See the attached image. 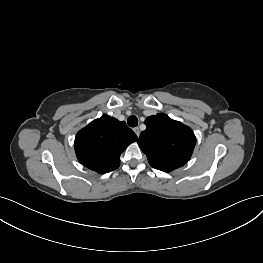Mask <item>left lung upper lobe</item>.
I'll list each match as a JSON object with an SVG mask.
<instances>
[{"mask_svg": "<svg viewBox=\"0 0 263 263\" xmlns=\"http://www.w3.org/2000/svg\"><path fill=\"white\" fill-rule=\"evenodd\" d=\"M144 123L146 130L138 144L152 167L170 172L189 161L196 138L188 126L163 113L148 117Z\"/></svg>", "mask_w": 263, "mask_h": 263, "instance_id": "left-lung-upper-lobe-1", "label": "left lung upper lobe"}]
</instances>
